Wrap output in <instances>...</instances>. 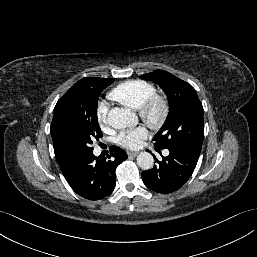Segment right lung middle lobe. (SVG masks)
Wrapping results in <instances>:
<instances>
[{
  "label": "right lung middle lobe",
  "mask_w": 257,
  "mask_h": 257,
  "mask_svg": "<svg viewBox=\"0 0 257 257\" xmlns=\"http://www.w3.org/2000/svg\"><path fill=\"white\" fill-rule=\"evenodd\" d=\"M113 81L84 83L62 96L50 128L55 146L78 159L93 153V140L102 136L97 119L98 98Z\"/></svg>",
  "instance_id": "right-lung-middle-lobe-1"
}]
</instances>
